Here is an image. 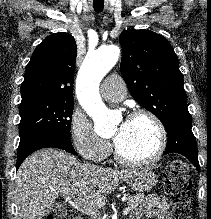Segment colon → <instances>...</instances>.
I'll use <instances>...</instances> for the list:
<instances>
[{
  "instance_id": "5ec220e1",
  "label": "colon",
  "mask_w": 211,
  "mask_h": 219,
  "mask_svg": "<svg viewBox=\"0 0 211 219\" xmlns=\"http://www.w3.org/2000/svg\"><path fill=\"white\" fill-rule=\"evenodd\" d=\"M164 178L166 196L173 219H189L191 181L188 165L182 160H175L166 168ZM45 219L59 218L49 215Z\"/></svg>"
}]
</instances>
